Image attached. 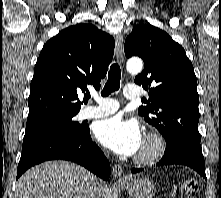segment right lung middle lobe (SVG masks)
<instances>
[{
	"label": "right lung middle lobe",
	"mask_w": 221,
	"mask_h": 198,
	"mask_svg": "<svg viewBox=\"0 0 221 198\" xmlns=\"http://www.w3.org/2000/svg\"><path fill=\"white\" fill-rule=\"evenodd\" d=\"M77 113L53 114L27 122L23 146L50 135H79L83 133L88 126L73 120Z\"/></svg>",
	"instance_id": "dd1d6c3e"
}]
</instances>
